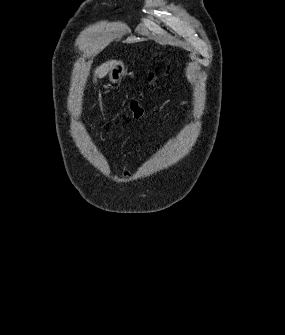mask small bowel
<instances>
[{"mask_svg":"<svg viewBox=\"0 0 285 335\" xmlns=\"http://www.w3.org/2000/svg\"><path fill=\"white\" fill-rule=\"evenodd\" d=\"M123 174H124L125 177H130L131 176V173H130L129 169H127V168L124 169Z\"/></svg>","mask_w":285,"mask_h":335,"instance_id":"1","label":"small bowel"}]
</instances>
